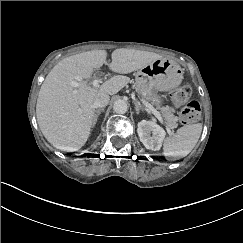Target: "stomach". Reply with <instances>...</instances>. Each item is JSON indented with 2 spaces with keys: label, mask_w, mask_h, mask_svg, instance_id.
Listing matches in <instances>:
<instances>
[{
  "label": "stomach",
  "mask_w": 243,
  "mask_h": 243,
  "mask_svg": "<svg viewBox=\"0 0 243 243\" xmlns=\"http://www.w3.org/2000/svg\"><path fill=\"white\" fill-rule=\"evenodd\" d=\"M183 79L181 67L166 59H157L141 68L136 76L138 93L155 106L162 103L160 91H167L177 87Z\"/></svg>",
  "instance_id": "obj_1"
}]
</instances>
